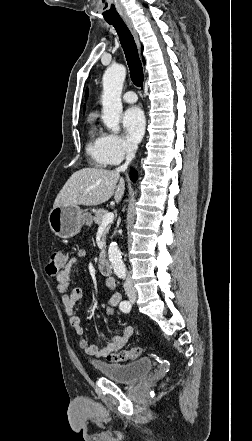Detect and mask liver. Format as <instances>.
I'll use <instances>...</instances> for the list:
<instances>
[{
  "label": "liver",
  "mask_w": 252,
  "mask_h": 441,
  "mask_svg": "<svg viewBox=\"0 0 252 441\" xmlns=\"http://www.w3.org/2000/svg\"><path fill=\"white\" fill-rule=\"evenodd\" d=\"M124 190V179L118 172L87 167L71 175L57 195L54 206H96L108 201L113 195L118 203Z\"/></svg>",
  "instance_id": "6515ba94"
}]
</instances>
